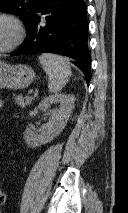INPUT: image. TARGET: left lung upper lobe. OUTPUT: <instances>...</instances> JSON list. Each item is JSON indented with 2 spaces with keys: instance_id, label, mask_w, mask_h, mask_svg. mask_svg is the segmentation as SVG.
Returning a JSON list of instances; mask_svg holds the SVG:
<instances>
[{
  "instance_id": "1",
  "label": "left lung upper lobe",
  "mask_w": 128,
  "mask_h": 213,
  "mask_svg": "<svg viewBox=\"0 0 128 213\" xmlns=\"http://www.w3.org/2000/svg\"><path fill=\"white\" fill-rule=\"evenodd\" d=\"M39 0H0V11L20 16L25 28L30 25Z\"/></svg>"
}]
</instances>
